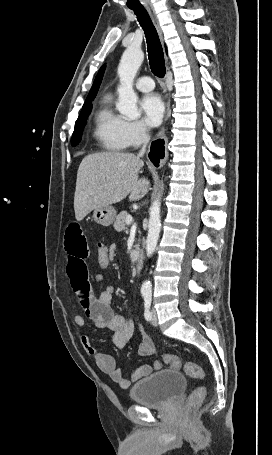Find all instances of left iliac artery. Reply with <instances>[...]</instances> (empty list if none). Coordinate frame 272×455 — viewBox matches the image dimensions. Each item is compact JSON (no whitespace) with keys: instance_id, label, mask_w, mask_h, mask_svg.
I'll return each mask as SVG.
<instances>
[{"instance_id":"left-iliac-artery-1","label":"left iliac artery","mask_w":272,"mask_h":455,"mask_svg":"<svg viewBox=\"0 0 272 455\" xmlns=\"http://www.w3.org/2000/svg\"><path fill=\"white\" fill-rule=\"evenodd\" d=\"M144 317L147 321L151 320V312H150V306H151V294H144Z\"/></svg>"}]
</instances>
